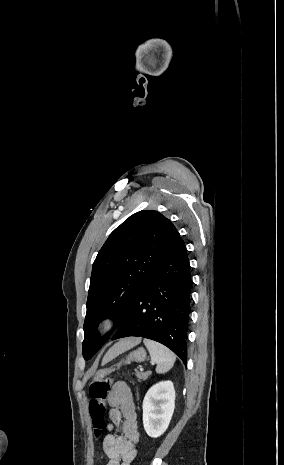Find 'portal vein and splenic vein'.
<instances>
[{
    "label": "portal vein and splenic vein",
    "mask_w": 284,
    "mask_h": 465,
    "mask_svg": "<svg viewBox=\"0 0 284 465\" xmlns=\"http://www.w3.org/2000/svg\"><path fill=\"white\" fill-rule=\"evenodd\" d=\"M151 365H155V363H151ZM140 371H142V369H140Z\"/></svg>",
    "instance_id": "1"
}]
</instances>
